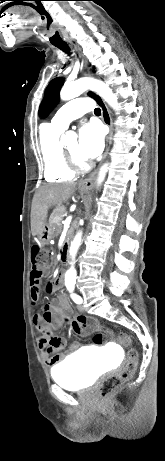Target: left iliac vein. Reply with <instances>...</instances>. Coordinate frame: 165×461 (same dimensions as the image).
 <instances>
[{
  "label": "left iliac vein",
  "instance_id": "obj_1",
  "mask_svg": "<svg viewBox=\"0 0 165 461\" xmlns=\"http://www.w3.org/2000/svg\"><path fill=\"white\" fill-rule=\"evenodd\" d=\"M78 310L81 312H84L85 311L84 305L83 304L78 305Z\"/></svg>",
  "mask_w": 165,
  "mask_h": 461
}]
</instances>
